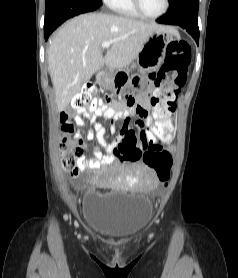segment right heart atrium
<instances>
[{"label": "right heart atrium", "instance_id": "obj_1", "mask_svg": "<svg viewBox=\"0 0 238 278\" xmlns=\"http://www.w3.org/2000/svg\"><path fill=\"white\" fill-rule=\"evenodd\" d=\"M103 1L110 7L115 0H103Z\"/></svg>", "mask_w": 238, "mask_h": 278}]
</instances>
